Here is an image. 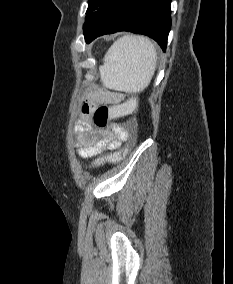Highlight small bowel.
Segmentation results:
<instances>
[{
  "label": "small bowel",
  "mask_w": 233,
  "mask_h": 284,
  "mask_svg": "<svg viewBox=\"0 0 233 284\" xmlns=\"http://www.w3.org/2000/svg\"><path fill=\"white\" fill-rule=\"evenodd\" d=\"M122 99V94L96 90L91 92L82 102L80 117L75 126V146L80 157L91 158L104 151L116 149L126 140L131 131L130 124L126 127L116 124L107 129H96L91 119L97 106H116L121 104Z\"/></svg>",
  "instance_id": "small-bowel-1"
}]
</instances>
